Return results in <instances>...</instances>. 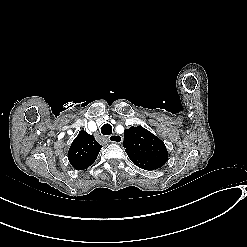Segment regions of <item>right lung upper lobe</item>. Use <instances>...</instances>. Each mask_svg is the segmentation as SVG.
I'll return each mask as SVG.
<instances>
[{
    "instance_id": "obj_1",
    "label": "right lung upper lobe",
    "mask_w": 247,
    "mask_h": 247,
    "mask_svg": "<svg viewBox=\"0 0 247 247\" xmlns=\"http://www.w3.org/2000/svg\"><path fill=\"white\" fill-rule=\"evenodd\" d=\"M101 147L94 136L81 130L69 148V162L77 170L86 169L97 159Z\"/></svg>"
}]
</instances>
